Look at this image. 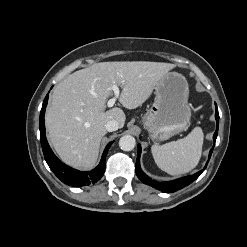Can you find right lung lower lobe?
<instances>
[{
	"label": "right lung lower lobe",
	"instance_id": "98d812e1",
	"mask_svg": "<svg viewBox=\"0 0 247 247\" xmlns=\"http://www.w3.org/2000/svg\"><path fill=\"white\" fill-rule=\"evenodd\" d=\"M49 95H46L42 109L40 112V118H39V129H40V140H41V146L44 154V158L50 167V169L53 171V173L65 184L77 187V186H83V185H89L94 184L98 180L101 179V177L104 174L105 171V159L108 152V148L112 144L109 143L102 155L101 161L99 165L93 169L90 172H82L78 171L76 169H73L64 163H62L52 152L50 149V146L47 142L46 136H45V123H44V115H45V108L47 106Z\"/></svg>",
	"mask_w": 247,
	"mask_h": 247
}]
</instances>
